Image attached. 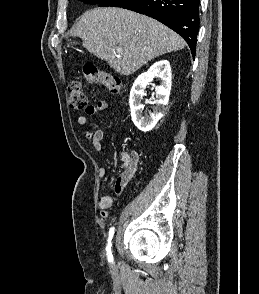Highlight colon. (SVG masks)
<instances>
[{"label": "colon", "mask_w": 259, "mask_h": 294, "mask_svg": "<svg viewBox=\"0 0 259 294\" xmlns=\"http://www.w3.org/2000/svg\"><path fill=\"white\" fill-rule=\"evenodd\" d=\"M83 77L91 84H99L111 93H118L120 80L107 71L100 70L94 65H86L82 71ZM70 106L75 110H86L87 99L82 84L77 79H72L68 84Z\"/></svg>", "instance_id": "5ec220e1"}]
</instances>
